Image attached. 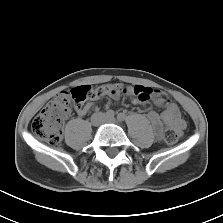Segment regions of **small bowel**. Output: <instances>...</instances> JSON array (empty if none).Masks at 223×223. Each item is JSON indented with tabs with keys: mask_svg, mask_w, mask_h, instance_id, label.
Masks as SVG:
<instances>
[{
	"mask_svg": "<svg viewBox=\"0 0 223 223\" xmlns=\"http://www.w3.org/2000/svg\"><path fill=\"white\" fill-rule=\"evenodd\" d=\"M157 92L159 91H156L154 102L158 106H164L165 109L161 112L153 110L150 111L147 115V118L152 124L155 133L160 136L165 128H172L177 132H182L185 127V123L181 118L178 107L172 103L165 94L161 92L158 94ZM133 104L144 105V102L134 98ZM92 107L93 103L89 102L77 112L79 115L83 116L90 109H92Z\"/></svg>",
	"mask_w": 223,
	"mask_h": 223,
	"instance_id": "small-bowel-1",
	"label": "small bowel"
}]
</instances>
